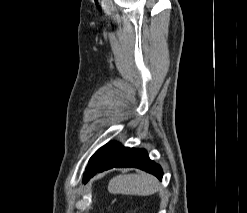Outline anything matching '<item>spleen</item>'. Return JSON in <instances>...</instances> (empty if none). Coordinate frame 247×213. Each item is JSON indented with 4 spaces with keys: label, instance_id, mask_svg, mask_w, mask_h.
I'll list each match as a JSON object with an SVG mask.
<instances>
[{
    "label": "spleen",
    "instance_id": "3e777b00",
    "mask_svg": "<svg viewBox=\"0 0 247 213\" xmlns=\"http://www.w3.org/2000/svg\"><path fill=\"white\" fill-rule=\"evenodd\" d=\"M158 189V180L147 173L118 175L108 184V191L112 194L148 196Z\"/></svg>",
    "mask_w": 247,
    "mask_h": 213
}]
</instances>
